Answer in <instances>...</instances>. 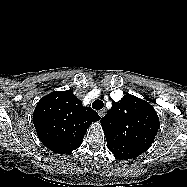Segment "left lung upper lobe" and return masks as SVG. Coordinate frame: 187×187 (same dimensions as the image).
<instances>
[{"instance_id":"obj_1","label":"left lung upper lobe","mask_w":187,"mask_h":187,"mask_svg":"<svg viewBox=\"0 0 187 187\" xmlns=\"http://www.w3.org/2000/svg\"><path fill=\"white\" fill-rule=\"evenodd\" d=\"M108 149L119 160L138 157L149 149L158 132L159 118L150 103L126 94L101 119Z\"/></svg>"}]
</instances>
